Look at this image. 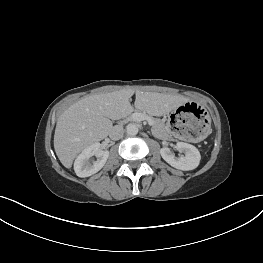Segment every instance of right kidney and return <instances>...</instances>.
I'll return each mask as SVG.
<instances>
[{"label":"right kidney","instance_id":"ca27d5eb","mask_svg":"<svg viewBox=\"0 0 263 263\" xmlns=\"http://www.w3.org/2000/svg\"><path fill=\"white\" fill-rule=\"evenodd\" d=\"M99 143H94L85 148L81 154L78 155L74 162V170L78 177H89L97 173L105 165L109 151L99 149ZM96 156V161H91L90 158Z\"/></svg>","mask_w":263,"mask_h":263}]
</instances>
